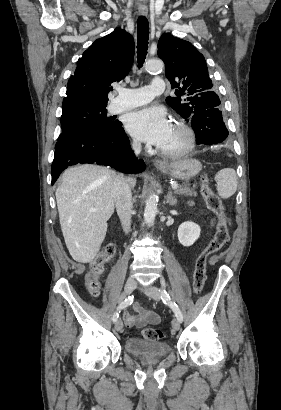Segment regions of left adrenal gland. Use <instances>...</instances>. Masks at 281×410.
<instances>
[{"instance_id":"obj_1","label":"left adrenal gland","mask_w":281,"mask_h":410,"mask_svg":"<svg viewBox=\"0 0 281 410\" xmlns=\"http://www.w3.org/2000/svg\"><path fill=\"white\" fill-rule=\"evenodd\" d=\"M166 203H168L171 206H174L177 204V199L172 195V192H168L166 196Z\"/></svg>"}]
</instances>
